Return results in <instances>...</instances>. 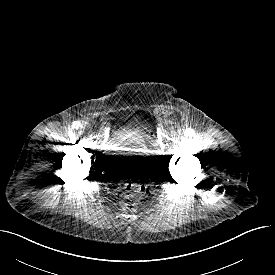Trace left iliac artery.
<instances>
[{
	"instance_id": "1",
	"label": "left iliac artery",
	"mask_w": 275,
	"mask_h": 275,
	"mask_svg": "<svg viewBox=\"0 0 275 275\" xmlns=\"http://www.w3.org/2000/svg\"><path fill=\"white\" fill-rule=\"evenodd\" d=\"M186 134L189 136H192V135H194V131L192 129H187Z\"/></svg>"
}]
</instances>
